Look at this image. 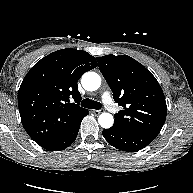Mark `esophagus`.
Segmentation results:
<instances>
[{
    "label": "esophagus",
    "mask_w": 193,
    "mask_h": 193,
    "mask_svg": "<svg viewBox=\"0 0 193 193\" xmlns=\"http://www.w3.org/2000/svg\"><path fill=\"white\" fill-rule=\"evenodd\" d=\"M91 112H92L93 114H95V115L100 114V111H99V110H92Z\"/></svg>",
    "instance_id": "obj_1"
}]
</instances>
